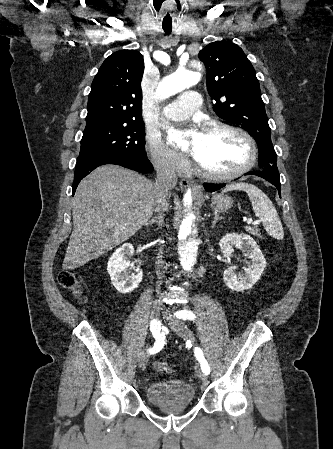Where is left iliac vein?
Here are the masks:
<instances>
[{
    "instance_id": "obj_1",
    "label": "left iliac vein",
    "mask_w": 333,
    "mask_h": 449,
    "mask_svg": "<svg viewBox=\"0 0 333 449\" xmlns=\"http://www.w3.org/2000/svg\"><path fill=\"white\" fill-rule=\"evenodd\" d=\"M165 321L168 323V325L170 326V328L181 338L183 339H190L194 342V336L192 331L184 324L178 321H174L171 316H169L168 314L164 315ZM196 374L199 377V379L201 381H203L204 383L207 382V377L206 375L203 373L201 368H196Z\"/></svg>"
}]
</instances>
